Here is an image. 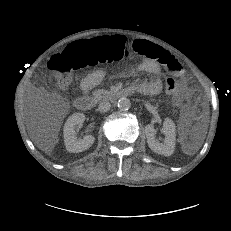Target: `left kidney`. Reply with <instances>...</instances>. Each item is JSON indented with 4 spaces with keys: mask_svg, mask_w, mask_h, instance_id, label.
<instances>
[{
    "mask_svg": "<svg viewBox=\"0 0 231 231\" xmlns=\"http://www.w3.org/2000/svg\"><path fill=\"white\" fill-rule=\"evenodd\" d=\"M162 133L165 135V141L164 143H159L155 139L154 126L151 124L145 126V134L149 148L157 154L170 156L174 152L176 140V126L171 119H165L162 127Z\"/></svg>",
    "mask_w": 231,
    "mask_h": 231,
    "instance_id": "5707ae66",
    "label": "left kidney"
}]
</instances>
